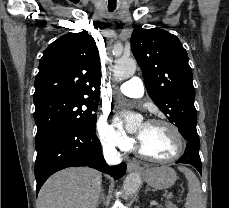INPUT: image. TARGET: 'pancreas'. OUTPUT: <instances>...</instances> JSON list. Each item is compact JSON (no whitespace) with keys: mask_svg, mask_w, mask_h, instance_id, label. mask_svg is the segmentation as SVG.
Masks as SVG:
<instances>
[{"mask_svg":"<svg viewBox=\"0 0 229 208\" xmlns=\"http://www.w3.org/2000/svg\"><path fill=\"white\" fill-rule=\"evenodd\" d=\"M167 208H176V206L174 204H168Z\"/></svg>","mask_w":229,"mask_h":208,"instance_id":"1","label":"pancreas"}]
</instances>
